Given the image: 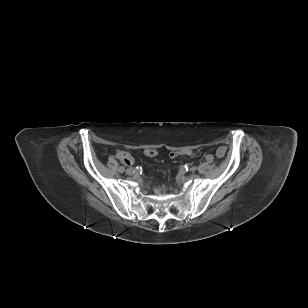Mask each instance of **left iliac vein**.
I'll list each match as a JSON object with an SVG mask.
<instances>
[{"label":"left iliac vein","mask_w":308,"mask_h":308,"mask_svg":"<svg viewBox=\"0 0 308 308\" xmlns=\"http://www.w3.org/2000/svg\"><path fill=\"white\" fill-rule=\"evenodd\" d=\"M196 170H197V167H195V166L190 168V171H192V172H195Z\"/></svg>","instance_id":"obj_1"}]
</instances>
